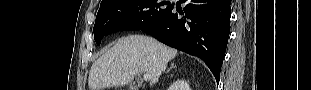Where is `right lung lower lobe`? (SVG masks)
I'll return each mask as SVG.
<instances>
[{
  "label": "right lung lower lobe",
  "mask_w": 311,
  "mask_h": 90,
  "mask_svg": "<svg viewBox=\"0 0 311 90\" xmlns=\"http://www.w3.org/2000/svg\"><path fill=\"white\" fill-rule=\"evenodd\" d=\"M183 10L170 11L158 22L142 28L168 46L201 58L220 80L229 37L231 0H183ZM178 13L182 18H178Z\"/></svg>",
  "instance_id": "obj_1"
}]
</instances>
